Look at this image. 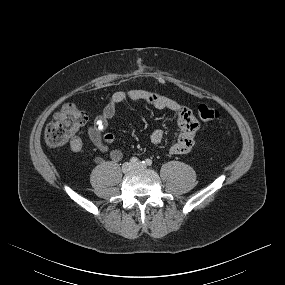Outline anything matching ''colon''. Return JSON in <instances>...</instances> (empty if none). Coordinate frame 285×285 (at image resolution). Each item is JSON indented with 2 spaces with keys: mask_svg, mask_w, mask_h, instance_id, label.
<instances>
[{
  "mask_svg": "<svg viewBox=\"0 0 285 285\" xmlns=\"http://www.w3.org/2000/svg\"><path fill=\"white\" fill-rule=\"evenodd\" d=\"M197 115L203 122L216 120L220 112L208 105L202 104L198 107ZM87 116L77 105L67 103L54 115L44 131L45 142L52 147L65 144L76 135L81 126L85 124Z\"/></svg>",
  "mask_w": 285,
  "mask_h": 285,
  "instance_id": "colon-1",
  "label": "colon"
}]
</instances>
